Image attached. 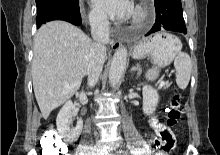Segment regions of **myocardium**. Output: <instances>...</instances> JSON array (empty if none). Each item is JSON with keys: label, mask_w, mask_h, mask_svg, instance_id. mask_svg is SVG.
<instances>
[{"label": "myocardium", "mask_w": 220, "mask_h": 155, "mask_svg": "<svg viewBox=\"0 0 220 155\" xmlns=\"http://www.w3.org/2000/svg\"><path fill=\"white\" fill-rule=\"evenodd\" d=\"M149 17V8L148 6L141 2L137 4L135 8V12L132 18V23L134 25H141L143 24Z\"/></svg>", "instance_id": "f54148a6"}]
</instances>
